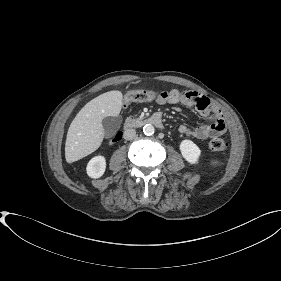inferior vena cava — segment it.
<instances>
[{"instance_id":"obj_1","label":"inferior vena cava","mask_w":281,"mask_h":281,"mask_svg":"<svg viewBox=\"0 0 281 281\" xmlns=\"http://www.w3.org/2000/svg\"><path fill=\"white\" fill-rule=\"evenodd\" d=\"M135 135H136V131H135V129H126L125 131H124V133H123V137H124V139H126V140H131V139H133L134 137H135Z\"/></svg>"}]
</instances>
